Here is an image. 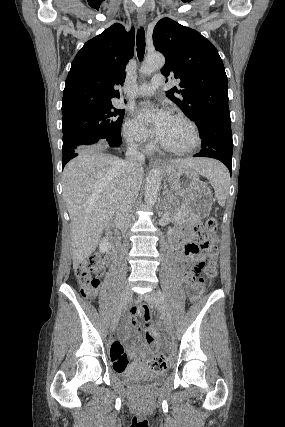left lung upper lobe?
Instances as JSON below:
<instances>
[{
	"mask_svg": "<svg viewBox=\"0 0 285 427\" xmlns=\"http://www.w3.org/2000/svg\"><path fill=\"white\" fill-rule=\"evenodd\" d=\"M153 44L166 58L162 74L180 80L166 96L187 117L195 122L205 116L230 118L225 68L209 40L165 17L154 28Z\"/></svg>",
	"mask_w": 285,
	"mask_h": 427,
	"instance_id": "5c2ea615",
	"label": "left lung upper lobe"
}]
</instances>
